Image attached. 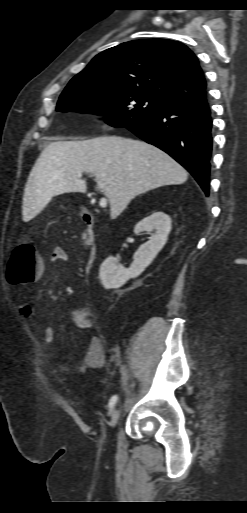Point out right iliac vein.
I'll list each match as a JSON object with an SVG mask.
<instances>
[{
    "label": "right iliac vein",
    "instance_id": "1",
    "mask_svg": "<svg viewBox=\"0 0 247 513\" xmlns=\"http://www.w3.org/2000/svg\"><path fill=\"white\" fill-rule=\"evenodd\" d=\"M121 409L118 405H116L112 412V419H111V426L115 427L118 423L119 417H120Z\"/></svg>",
    "mask_w": 247,
    "mask_h": 513
}]
</instances>
